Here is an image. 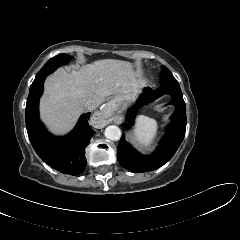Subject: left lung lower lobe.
<instances>
[{
    "instance_id": "left-lung-lower-lobe-1",
    "label": "left lung lower lobe",
    "mask_w": 240,
    "mask_h": 240,
    "mask_svg": "<svg viewBox=\"0 0 240 240\" xmlns=\"http://www.w3.org/2000/svg\"><path fill=\"white\" fill-rule=\"evenodd\" d=\"M163 94H170L172 96L171 104L176 106V111L171 117V124L167 126V137L162 140L161 145L157 148L154 155L145 156L138 153L126 142L124 134H122L117 149V159L119 164L129 171L140 173L160 168L172 158L183 141L186 130V107L179 85L161 84L155 91L146 88L136 108L128 112L127 120L132 125L134 112L137 107L152 102Z\"/></svg>"
}]
</instances>
